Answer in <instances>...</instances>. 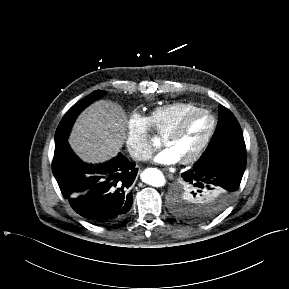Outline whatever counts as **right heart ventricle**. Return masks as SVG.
Instances as JSON below:
<instances>
[{
	"label": "right heart ventricle",
	"mask_w": 289,
	"mask_h": 289,
	"mask_svg": "<svg viewBox=\"0 0 289 289\" xmlns=\"http://www.w3.org/2000/svg\"><path fill=\"white\" fill-rule=\"evenodd\" d=\"M199 109L190 102H173L154 108L149 114L151 126L163 136L188 112Z\"/></svg>",
	"instance_id": "obj_1"
}]
</instances>
